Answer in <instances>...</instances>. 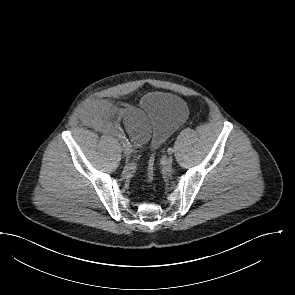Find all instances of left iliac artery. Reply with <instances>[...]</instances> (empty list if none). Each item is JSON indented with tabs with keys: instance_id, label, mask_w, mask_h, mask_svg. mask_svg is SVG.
<instances>
[{
	"instance_id": "44dca946",
	"label": "left iliac artery",
	"mask_w": 295,
	"mask_h": 295,
	"mask_svg": "<svg viewBox=\"0 0 295 295\" xmlns=\"http://www.w3.org/2000/svg\"><path fill=\"white\" fill-rule=\"evenodd\" d=\"M167 152H168L169 155H171V154H173L174 149L170 147V148H168Z\"/></svg>"
}]
</instances>
